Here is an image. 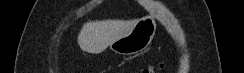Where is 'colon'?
Instances as JSON below:
<instances>
[{"mask_svg":"<svg viewBox=\"0 0 244 73\" xmlns=\"http://www.w3.org/2000/svg\"><path fill=\"white\" fill-rule=\"evenodd\" d=\"M151 72H153L152 69H148V70L143 71V73H151Z\"/></svg>","mask_w":244,"mask_h":73,"instance_id":"1","label":"colon"}]
</instances>
